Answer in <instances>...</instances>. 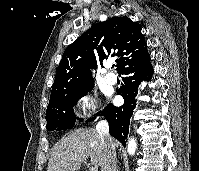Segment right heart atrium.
<instances>
[{
  "mask_svg": "<svg viewBox=\"0 0 199 171\" xmlns=\"http://www.w3.org/2000/svg\"><path fill=\"white\" fill-rule=\"evenodd\" d=\"M77 107L82 118L87 119L97 110V101L90 93H85L79 99Z\"/></svg>",
  "mask_w": 199,
  "mask_h": 171,
  "instance_id": "d8ad5b80",
  "label": "right heart atrium"
}]
</instances>
